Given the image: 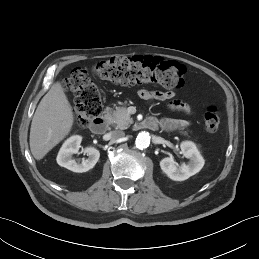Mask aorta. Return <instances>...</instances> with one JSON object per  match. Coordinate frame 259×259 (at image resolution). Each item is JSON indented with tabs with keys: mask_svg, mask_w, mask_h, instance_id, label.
Segmentation results:
<instances>
[{
	"mask_svg": "<svg viewBox=\"0 0 259 259\" xmlns=\"http://www.w3.org/2000/svg\"><path fill=\"white\" fill-rule=\"evenodd\" d=\"M150 144V135L148 132L142 131L136 138V147L139 149L147 148Z\"/></svg>",
	"mask_w": 259,
	"mask_h": 259,
	"instance_id": "762f6f07",
	"label": "aorta"
}]
</instances>
